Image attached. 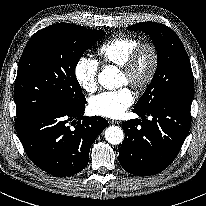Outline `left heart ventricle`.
Masks as SVG:
<instances>
[{
    "label": "left heart ventricle",
    "instance_id": "1",
    "mask_svg": "<svg viewBox=\"0 0 206 206\" xmlns=\"http://www.w3.org/2000/svg\"><path fill=\"white\" fill-rule=\"evenodd\" d=\"M149 66H150V55L147 51H144L140 57V60L137 66V70H136L137 77L138 78L143 77L147 73ZM125 84H127V79L122 74L121 75V85L123 86Z\"/></svg>",
    "mask_w": 206,
    "mask_h": 206
}]
</instances>
